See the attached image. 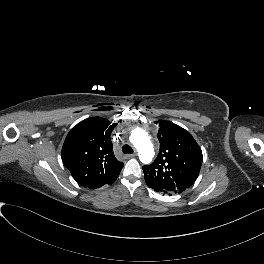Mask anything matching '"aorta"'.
Listing matches in <instances>:
<instances>
[{
	"mask_svg": "<svg viewBox=\"0 0 264 264\" xmlns=\"http://www.w3.org/2000/svg\"><path fill=\"white\" fill-rule=\"evenodd\" d=\"M131 140L139 152V158L143 163L152 160L154 150L148 134L141 128L133 130Z\"/></svg>",
	"mask_w": 264,
	"mask_h": 264,
	"instance_id": "obj_1",
	"label": "aorta"
}]
</instances>
